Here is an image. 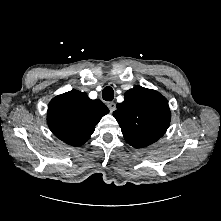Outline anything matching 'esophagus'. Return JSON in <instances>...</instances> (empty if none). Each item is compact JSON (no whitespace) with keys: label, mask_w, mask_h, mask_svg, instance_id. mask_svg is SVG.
<instances>
[{"label":"esophagus","mask_w":221,"mask_h":221,"mask_svg":"<svg viewBox=\"0 0 221 221\" xmlns=\"http://www.w3.org/2000/svg\"><path fill=\"white\" fill-rule=\"evenodd\" d=\"M107 106H108V108H109V110H110L111 112H113V111L115 110V108H116V105H115L114 102H109V103H107Z\"/></svg>","instance_id":"obj_1"}]
</instances>
